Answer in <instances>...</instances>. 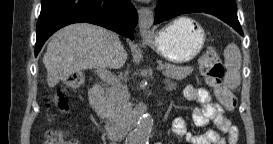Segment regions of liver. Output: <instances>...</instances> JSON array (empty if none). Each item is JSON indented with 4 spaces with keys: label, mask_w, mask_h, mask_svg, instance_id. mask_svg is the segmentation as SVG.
I'll list each match as a JSON object with an SVG mask.
<instances>
[{
    "label": "liver",
    "mask_w": 273,
    "mask_h": 144,
    "mask_svg": "<svg viewBox=\"0 0 273 144\" xmlns=\"http://www.w3.org/2000/svg\"><path fill=\"white\" fill-rule=\"evenodd\" d=\"M110 34L107 29L88 23L71 24L57 31L43 58L49 87L80 70L121 68L127 53L121 42L118 53H110Z\"/></svg>",
    "instance_id": "obj_1"
}]
</instances>
